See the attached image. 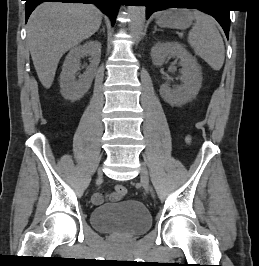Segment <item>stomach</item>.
<instances>
[{"mask_svg": "<svg viewBox=\"0 0 259 266\" xmlns=\"http://www.w3.org/2000/svg\"><path fill=\"white\" fill-rule=\"evenodd\" d=\"M192 20L193 17L187 9H170L161 12L156 23L163 28L186 29Z\"/></svg>", "mask_w": 259, "mask_h": 266, "instance_id": "1", "label": "stomach"}]
</instances>
